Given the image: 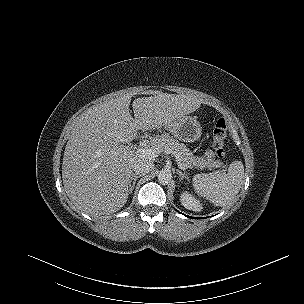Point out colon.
Returning a JSON list of instances; mask_svg holds the SVG:
<instances>
[{
  "instance_id": "5ec220e1",
  "label": "colon",
  "mask_w": 304,
  "mask_h": 304,
  "mask_svg": "<svg viewBox=\"0 0 304 304\" xmlns=\"http://www.w3.org/2000/svg\"><path fill=\"white\" fill-rule=\"evenodd\" d=\"M226 137H227L226 121L224 119H219L213 130L212 142L216 154L220 158H224L226 155V149H225Z\"/></svg>"
}]
</instances>
